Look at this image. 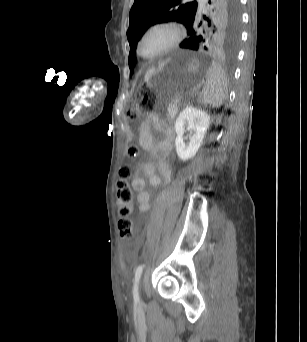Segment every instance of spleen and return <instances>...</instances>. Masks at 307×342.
I'll return each instance as SVG.
<instances>
[{
    "mask_svg": "<svg viewBox=\"0 0 307 342\" xmlns=\"http://www.w3.org/2000/svg\"><path fill=\"white\" fill-rule=\"evenodd\" d=\"M207 82L203 83V93H200V100L204 104L219 108L227 96V80L216 62L209 66Z\"/></svg>",
    "mask_w": 307,
    "mask_h": 342,
    "instance_id": "1",
    "label": "spleen"
}]
</instances>
